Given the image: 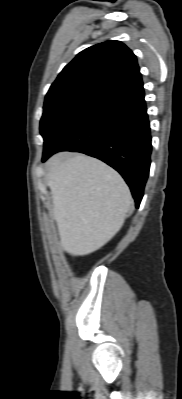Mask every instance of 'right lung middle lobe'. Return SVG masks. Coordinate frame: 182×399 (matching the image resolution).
<instances>
[{"mask_svg":"<svg viewBox=\"0 0 182 399\" xmlns=\"http://www.w3.org/2000/svg\"><path fill=\"white\" fill-rule=\"evenodd\" d=\"M104 102L102 98L87 94H69L45 99L40 121L44 151L51 147L65 129Z\"/></svg>","mask_w":182,"mask_h":399,"instance_id":"dd1d6c3e","label":"right lung middle lobe"}]
</instances>
